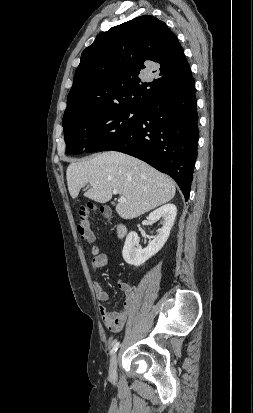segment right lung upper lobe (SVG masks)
Masks as SVG:
<instances>
[{
    "label": "right lung upper lobe",
    "mask_w": 253,
    "mask_h": 413,
    "mask_svg": "<svg viewBox=\"0 0 253 413\" xmlns=\"http://www.w3.org/2000/svg\"><path fill=\"white\" fill-rule=\"evenodd\" d=\"M156 63L154 78L145 79ZM192 78L176 35L157 18L144 15L97 35L76 69L62 125L115 108H140L184 87Z\"/></svg>",
    "instance_id": "1"
}]
</instances>
